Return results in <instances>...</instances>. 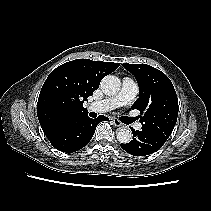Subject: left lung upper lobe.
Segmentation results:
<instances>
[{"label": "left lung upper lobe", "mask_w": 211, "mask_h": 211, "mask_svg": "<svg viewBox=\"0 0 211 211\" xmlns=\"http://www.w3.org/2000/svg\"><path fill=\"white\" fill-rule=\"evenodd\" d=\"M139 85V98L132 109L140 111L142 131L165 142L171 135L178 116V99L170 79L147 64H122Z\"/></svg>", "instance_id": "obj_1"}]
</instances>
